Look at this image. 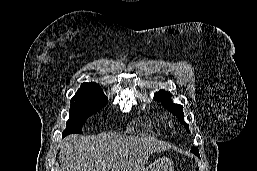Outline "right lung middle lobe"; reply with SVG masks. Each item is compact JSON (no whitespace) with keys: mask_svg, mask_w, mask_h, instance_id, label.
I'll use <instances>...</instances> for the list:
<instances>
[{"mask_svg":"<svg viewBox=\"0 0 257 171\" xmlns=\"http://www.w3.org/2000/svg\"><path fill=\"white\" fill-rule=\"evenodd\" d=\"M108 102L103 92L78 90L71 99L70 118L62 135L82 133V126L89 116L102 109Z\"/></svg>","mask_w":257,"mask_h":171,"instance_id":"right-lung-middle-lobe-1","label":"right lung middle lobe"}]
</instances>
